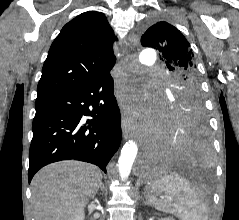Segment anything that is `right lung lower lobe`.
Wrapping results in <instances>:
<instances>
[{
    "instance_id": "right-lung-lower-lobe-1",
    "label": "right lung lower lobe",
    "mask_w": 239,
    "mask_h": 220,
    "mask_svg": "<svg viewBox=\"0 0 239 220\" xmlns=\"http://www.w3.org/2000/svg\"><path fill=\"white\" fill-rule=\"evenodd\" d=\"M110 71L73 91L38 99L29 152V182L43 166L68 159L106 166L121 142L120 110ZM83 116L92 117L86 121Z\"/></svg>"
}]
</instances>
